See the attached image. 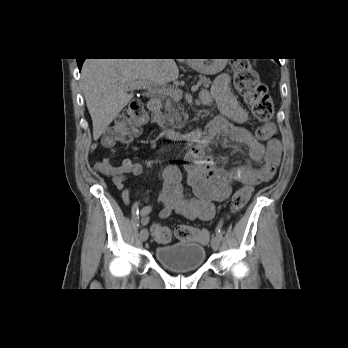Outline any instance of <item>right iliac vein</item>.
<instances>
[{
  "instance_id": "right-iliac-vein-1",
  "label": "right iliac vein",
  "mask_w": 348,
  "mask_h": 348,
  "mask_svg": "<svg viewBox=\"0 0 348 348\" xmlns=\"http://www.w3.org/2000/svg\"><path fill=\"white\" fill-rule=\"evenodd\" d=\"M149 237V233H148V230L146 228H143L141 231H140V238L142 241H146Z\"/></svg>"
}]
</instances>
